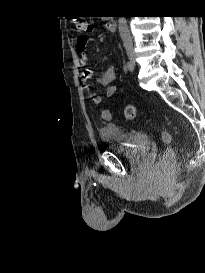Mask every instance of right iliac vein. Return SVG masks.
I'll return each mask as SVG.
<instances>
[{
    "mask_svg": "<svg viewBox=\"0 0 205 273\" xmlns=\"http://www.w3.org/2000/svg\"><path fill=\"white\" fill-rule=\"evenodd\" d=\"M127 56L129 58V60L131 61V63L133 65H135V54L132 50H127Z\"/></svg>",
    "mask_w": 205,
    "mask_h": 273,
    "instance_id": "63e3f726",
    "label": "right iliac vein"
}]
</instances>
